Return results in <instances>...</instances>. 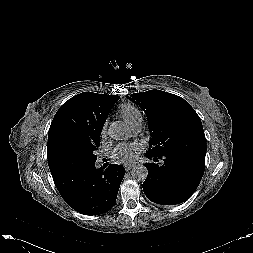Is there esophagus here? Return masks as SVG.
<instances>
[{
	"label": "esophagus",
	"instance_id": "obj_1",
	"mask_svg": "<svg viewBox=\"0 0 253 253\" xmlns=\"http://www.w3.org/2000/svg\"><path fill=\"white\" fill-rule=\"evenodd\" d=\"M133 167H134V165L133 164H129V163H127V164L124 165V168H125L126 171L131 170Z\"/></svg>",
	"mask_w": 253,
	"mask_h": 253
}]
</instances>
